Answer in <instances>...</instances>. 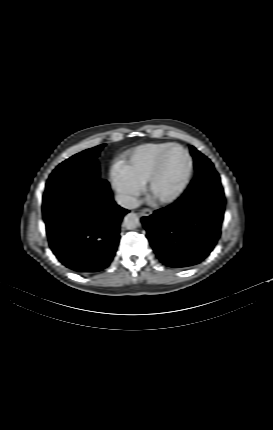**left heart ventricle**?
<instances>
[{"mask_svg":"<svg viewBox=\"0 0 273 430\" xmlns=\"http://www.w3.org/2000/svg\"><path fill=\"white\" fill-rule=\"evenodd\" d=\"M188 169V161L179 149L170 151L154 185V194L164 197L172 194L182 183Z\"/></svg>","mask_w":273,"mask_h":430,"instance_id":"obj_1","label":"left heart ventricle"}]
</instances>
